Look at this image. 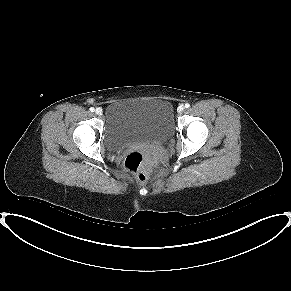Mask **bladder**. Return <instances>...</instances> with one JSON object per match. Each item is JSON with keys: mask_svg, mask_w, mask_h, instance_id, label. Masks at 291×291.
Instances as JSON below:
<instances>
[{"mask_svg": "<svg viewBox=\"0 0 291 291\" xmlns=\"http://www.w3.org/2000/svg\"><path fill=\"white\" fill-rule=\"evenodd\" d=\"M174 128L173 108L166 99L120 100L106 107L104 135L109 150H118L138 140L162 141Z\"/></svg>", "mask_w": 291, "mask_h": 291, "instance_id": "31cf9c89", "label": "bladder"}]
</instances>
